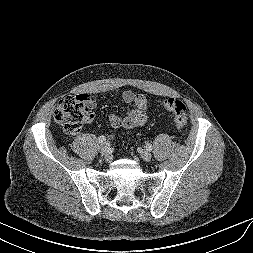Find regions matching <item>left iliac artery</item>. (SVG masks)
I'll list each match as a JSON object with an SVG mask.
<instances>
[{
	"label": "left iliac artery",
	"instance_id": "left-iliac-artery-1",
	"mask_svg": "<svg viewBox=\"0 0 253 253\" xmlns=\"http://www.w3.org/2000/svg\"><path fill=\"white\" fill-rule=\"evenodd\" d=\"M146 149H147L148 151H152L153 147H152L151 144H147V145H146Z\"/></svg>",
	"mask_w": 253,
	"mask_h": 253
}]
</instances>
